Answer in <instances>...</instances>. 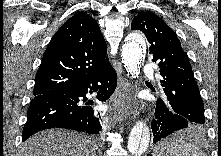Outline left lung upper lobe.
I'll list each match as a JSON object with an SVG mask.
<instances>
[{
  "instance_id": "1",
  "label": "left lung upper lobe",
  "mask_w": 221,
  "mask_h": 156,
  "mask_svg": "<svg viewBox=\"0 0 221 156\" xmlns=\"http://www.w3.org/2000/svg\"><path fill=\"white\" fill-rule=\"evenodd\" d=\"M131 29L142 31L150 43L152 61L159 67L169 108L194 124H204V105L187 53L176 33L157 15L141 12Z\"/></svg>"
}]
</instances>
